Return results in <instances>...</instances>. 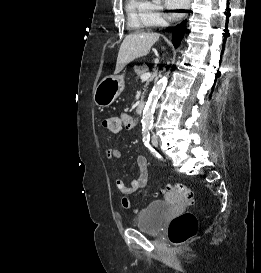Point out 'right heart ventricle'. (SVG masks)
<instances>
[{"label": "right heart ventricle", "instance_id": "obj_1", "mask_svg": "<svg viewBox=\"0 0 261 273\" xmlns=\"http://www.w3.org/2000/svg\"><path fill=\"white\" fill-rule=\"evenodd\" d=\"M126 12L129 25L137 31H145L155 26L148 0H127Z\"/></svg>", "mask_w": 261, "mask_h": 273}]
</instances>
